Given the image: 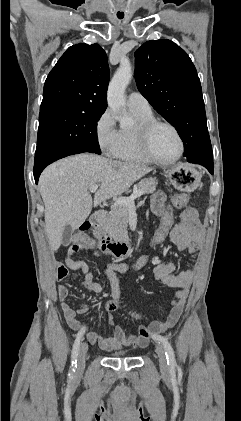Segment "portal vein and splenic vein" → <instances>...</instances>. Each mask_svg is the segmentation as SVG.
Returning a JSON list of instances; mask_svg holds the SVG:
<instances>
[{"label":"portal vein and splenic vein","mask_w":241,"mask_h":421,"mask_svg":"<svg viewBox=\"0 0 241 421\" xmlns=\"http://www.w3.org/2000/svg\"><path fill=\"white\" fill-rule=\"evenodd\" d=\"M98 187H99L98 184H94V185L90 186L89 191L91 193H94V192L97 191ZM143 194H144L143 191H135L129 197H121V198H118L115 201V203H114L113 206H123V207H127V208H134L135 207L134 200L136 198L140 197Z\"/></svg>","instance_id":"obj_1"}]
</instances>
